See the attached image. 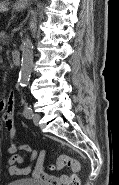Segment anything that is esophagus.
<instances>
[{"label": "esophagus", "mask_w": 119, "mask_h": 185, "mask_svg": "<svg viewBox=\"0 0 119 185\" xmlns=\"http://www.w3.org/2000/svg\"><path fill=\"white\" fill-rule=\"evenodd\" d=\"M27 0H17L16 4L17 5H20V4H23L25 3Z\"/></svg>", "instance_id": "1"}]
</instances>
